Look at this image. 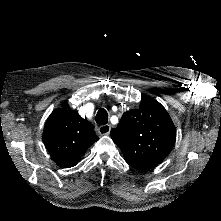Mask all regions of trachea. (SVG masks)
Wrapping results in <instances>:
<instances>
[{"mask_svg":"<svg viewBox=\"0 0 221 221\" xmlns=\"http://www.w3.org/2000/svg\"><path fill=\"white\" fill-rule=\"evenodd\" d=\"M96 122L99 125H105L108 122V113L105 109L101 108L96 114Z\"/></svg>","mask_w":221,"mask_h":221,"instance_id":"1","label":"trachea"}]
</instances>
